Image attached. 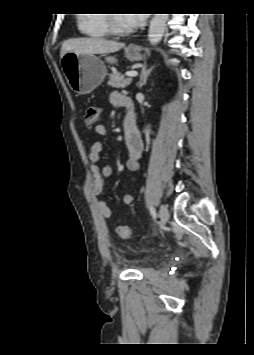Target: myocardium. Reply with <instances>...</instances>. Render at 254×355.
I'll return each instance as SVG.
<instances>
[{
  "instance_id": "myocardium-1",
  "label": "myocardium",
  "mask_w": 254,
  "mask_h": 355,
  "mask_svg": "<svg viewBox=\"0 0 254 355\" xmlns=\"http://www.w3.org/2000/svg\"><path fill=\"white\" fill-rule=\"evenodd\" d=\"M107 15V27L109 33L115 36H125L130 34L133 30L131 28H122L120 27L117 17L114 14Z\"/></svg>"
}]
</instances>
